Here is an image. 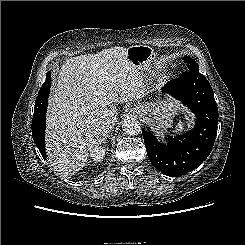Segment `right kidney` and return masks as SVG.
<instances>
[{"label":"right kidney","instance_id":"right-kidney-1","mask_svg":"<svg viewBox=\"0 0 245 245\" xmlns=\"http://www.w3.org/2000/svg\"><path fill=\"white\" fill-rule=\"evenodd\" d=\"M90 156L95 162L101 161L105 157V149L100 147L95 148Z\"/></svg>","mask_w":245,"mask_h":245}]
</instances>
